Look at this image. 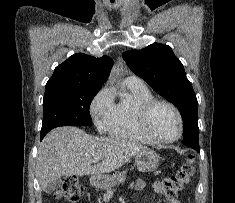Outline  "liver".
Segmentation results:
<instances>
[{"mask_svg":"<svg viewBox=\"0 0 235 203\" xmlns=\"http://www.w3.org/2000/svg\"><path fill=\"white\" fill-rule=\"evenodd\" d=\"M144 149L147 147L130 140L93 136L77 127H58L38 148L36 176L41 190H45L62 176L112 172ZM96 158L101 162H93Z\"/></svg>","mask_w":235,"mask_h":203,"instance_id":"6515ba94","label":"liver"}]
</instances>
